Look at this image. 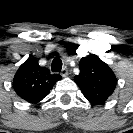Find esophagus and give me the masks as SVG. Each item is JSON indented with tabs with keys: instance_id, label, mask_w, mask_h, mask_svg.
Listing matches in <instances>:
<instances>
[{
	"instance_id": "34e87169",
	"label": "esophagus",
	"mask_w": 133,
	"mask_h": 133,
	"mask_svg": "<svg viewBox=\"0 0 133 133\" xmlns=\"http://www.w3.org/2000/svg\"><path fill=\"white\" fill-rule=\"evenodd\" d=\"M61 76L62 77H66L68 76V69L66 67H64L61 71Z\"/></svg>"
}]
</instances>
